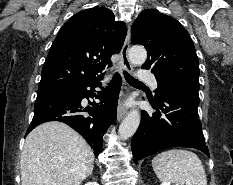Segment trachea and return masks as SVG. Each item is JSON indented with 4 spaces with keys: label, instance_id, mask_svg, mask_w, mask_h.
<instances>
[{
    "label": "trachea",
    "instance_id": "obj_1",
    "mask_svg": "<svg viewBox=\"0 0 233 185\" xmlns=\"http://www.w3.org/2000/svg\"><path fill=\"white\" fill-rule=\"evenodd\" d=\"M124 77L129 84H142L139 80L132 77L127 71H124Z\"/></svg>",
    "mask_w": 233,
    "mask_h": 185
}]
</instances>
